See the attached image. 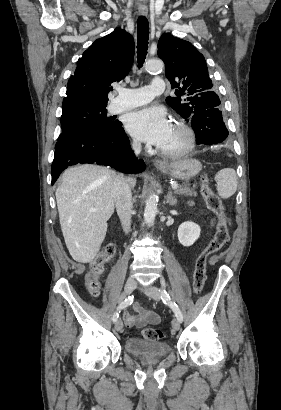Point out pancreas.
Segmentation results:
<instances>
[{
  "label": "pancreas",
  "mask_w": 281,
  "mask_h": 410,
  "mask_svg": "<svg viewBox=\"0 0 281 410\" xmlns=\"http://www.w3.org/2000/svg\"><path fill=\"white\" fill-rule=\"evenodd\" d=\"M175 194H179V195H186V196H196L197 193L195 192V188L190 187L189 184H183L180 187H178L177 189L174 190Z\"/></svg>",
  "instance_id": "pancreas-1"
}]
</instances>
